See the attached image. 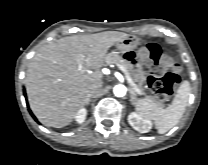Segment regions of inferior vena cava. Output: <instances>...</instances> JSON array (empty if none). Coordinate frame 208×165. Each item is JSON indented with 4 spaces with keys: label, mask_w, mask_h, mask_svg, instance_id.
Masks as SVG:
<instances>
[{
    "label": "inferior vena cava",
    "mask_w": 208,
    "mask_h": 165,
    "mask_svg": "<svg viewBox=\"0 0 208 165\" xmlns=\"http://www.w3.org/2000/svg\"><path fill=\"white\" fill-rule=\"evenodd\" d=\"M102 87V82H95L89 86V94H94L98 89Z\"/></svg>",
    "instance_id": "inferior-vena-cava-1"
}]
</instances>
